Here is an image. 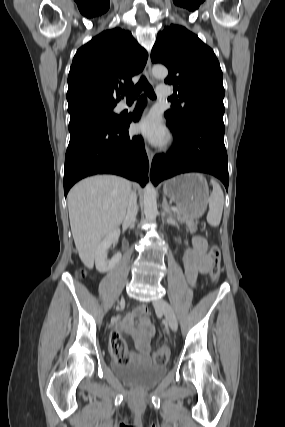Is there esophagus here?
Segmentation results:
<instances>
[{"instance_id": "esophagus-1", "label": "esophagus", "mask_w": 285, "mask_h": 427, "mask_svg": "<svg viewBox=\"0 0 285 427\" xmlns=\"http://www.w3.org/2000/svg\"><path fill=\"white\" fill-rule=\"evenodd\" d=\"M144 71H145L146 77L148 78L149 82L151 83V85L154 86L156 84V81H155V79L152 75V72H151V60H150V58H148V60H147ZM146 153H147V157L149 160V164L151 165L152 160L154 158V152L152 151V149L148 145H146Z\"/></svg>"}]
</instances>
